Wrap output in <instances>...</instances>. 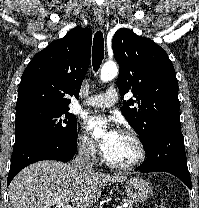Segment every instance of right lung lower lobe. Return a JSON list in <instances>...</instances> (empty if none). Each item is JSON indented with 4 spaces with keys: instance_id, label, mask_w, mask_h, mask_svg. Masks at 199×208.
Masks as SVG:
<instances>
[{
    "instance_id": "98d812e1",
    "label": "right lung lower lobe",
    "mask_w": 199,
    "mask_h": 208,
    "mask_svg": "<svg viewBox=\"0 0 199 208\" xmlns=\"http://www.w3.org/2000/svg\"><path fill=\"white\" fill-rule=\"evenodd\" d=\"M77 141L64 145L56 141L35 140L13 148L7 185L26 166L42 160L67 162L76 153Z\"/></svg>"
}]
</instances>
